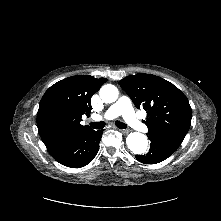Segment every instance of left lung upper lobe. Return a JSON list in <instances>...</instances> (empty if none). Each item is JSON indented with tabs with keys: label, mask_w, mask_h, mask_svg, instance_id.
<instances>
[{
	"label": "left lung upper lobe",
	"mask_w": 221,
	"mask_h": 221,
	"mask_svg": "<svg viewBox=\"0 0 221 221\" xmlns=\"http://www.w3.org/2000/svg\"><path fill=\"white\" fill-rule=\"evenodd\" d=\"M119 85L138 109L146 111L149 137L181 145L192 118V109L182 91L161 77L145 73L127 76Z\"/></svg>",
	"instance_id": "obj_1"
}]
</instances>
